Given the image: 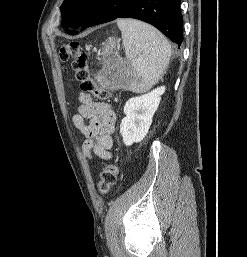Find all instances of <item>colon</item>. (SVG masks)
I'll use <instances>...</instances> for the list:
<instances>
[{"label":"colon","mask_w":247,"mask_h":257,"mask_svg":"<svg viewBox=\"0 0 247 257\" xmlns=\"http://www.w3.org/2000/svg\"><path fill=\"white\" fill-rule=\"evenodd\" d=\"M59 58L62 62L72 61V68L75 71L80 89L83 92L92 93L99 100H105L109 97V92L100 87L91 77L87 55L78 42L61 45L59 48ZM118 173V166L114 163H110L104 167L98 181L100 193L106 194L111 190L117 182Z\"/></svg>","instance_id":"colon-1"}]
</instances>
